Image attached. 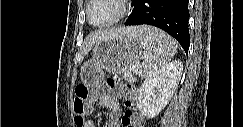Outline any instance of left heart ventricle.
Instances as JSON below:
<instances>
[{"label":"left heart ventricle","mask_w":243,"mask_h":127,"mask_svg":"<svg viewBox=\"0 0 243 127\" xmlns=\"http://www.w3.org/2000/svg\"><path fill=\"white\" fill-rule=\"evenodd\" d=\"M118 6L111 0H96L90 8V19L100 24L109 21L117 15Z\"/></svg>","instance_id":"obj_1"}]
</instances>
